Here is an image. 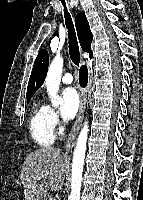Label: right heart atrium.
<instances>
[{
    "label": "right heart atrium",
    "mask_w": 143,
    "mask_h": 200,
    "mask_svg": "<svg viewBox=\"0 0 143 200\" xmlns=\"http://www.w3.org/2000/svg\"><path fill=\"white\" fill-rule=\"evenodd\" d=\"M46 112L47 125L53 134L60 130V121L57 112L49 105H44Z\"/></svg>",
    "instance_id": "d8ad5b80"
}]
</instances>
